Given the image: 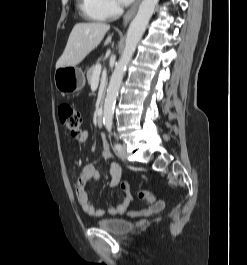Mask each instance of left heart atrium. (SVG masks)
Wrapping results in <instances>:
<instances>
[{
    "instance_id": "39dd6f15",
    "label": "left heart atrium",
    "mask_w": 247,
    "mask_h": 265,
    "mask_svg": "<svg viewBox=\"0 0 247 265\" xmlns=\"http://www.w3.org/2000/svg\"><path fill=\"white\" fill-rule=\"evenodd\" d=\"M122 3H124V4H128V3H130L132 0H120Z\"/></svg>"
}]
</instances>
